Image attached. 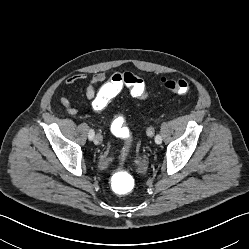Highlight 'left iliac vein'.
<instances>
[{
    "label": "left iliac vein",
    "instance_id": "1",
    "mask_svg": "<svg viewBox=\"0 0 249 249\" xmlns=\"http://www.w3.org/2000/svg\"><path fill=\"white\" fill-rule=\"evenodd\" d=\"M147 135H148L149 137H152V136L154 135V129H153V128H149V129L147 130Z\"/></svg>",
    "mask_w": 249,
    "mask_h": 249
}]
</instances>
